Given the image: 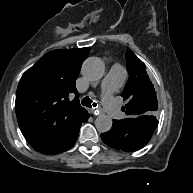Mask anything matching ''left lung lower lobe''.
Masks as SVG:
<instances>
[{"label":"left lung lower lobe","mask_w":193,"mask_h":193,"mask_svg":"<svg viewBox=\"0 0 193 193\" xmlns=\"http://www.w3.org/2000/svg\"><path fill=\"white\" fill-rule=\"evenodd\" d=\"M157 125L158 121L156 119L113 120L111 130L102 133L101 138L108 146L117 150L136 151L149 142Z\"/></svg>","instance_id":"obj_1"}]
</instances>
